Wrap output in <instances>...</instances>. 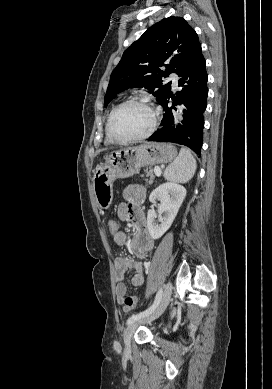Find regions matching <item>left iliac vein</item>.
Here are the masks:
<instances>
[{
    "instance_id": "4c4485c4",
    "label": "left iliac vein",
    "mask_w": 272,
    "mask_h": 389,
    "mask_svg": "<svg viewBox=\"0 0 272 389\" xmlns=\"http://www.w3.org/2000/svg\"><path fill=\"white\" fill-rule=\"evenodd\" d=\"M172 289H173L172 284L170 282H168L167 285L165 286L164 292L162 293L161 300H160L159 304L157 305V307L147 316L142 317L140 320L135 321V322L128 325V327L126 328V330L124 332V343H125L126 351H130L131 340H132V337H133V334H134L136 328L142 323H146V322H150L152 320H155L164 312V310L166 309V307L170 301V298L172 295Z\"/></svg>"
}]
</instances>
